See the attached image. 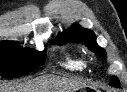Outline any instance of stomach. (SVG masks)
<instances>
[{
  "mask_svg": "<svg viewBox=\"0 0 127 92\" xmlns=\"http://www.w3.org/2000/svg\"><path fill=\"white\" fill-rule=\"evenodd\" d=\"M88 91H89V89H87L86 87H81L79 89V92H88Z\"/></svg>",
  "mask_w": 127,
  "mask_h": 92,
  "instance_id": "stomach-1",
  "label": "stomach"
}]
</instances>
